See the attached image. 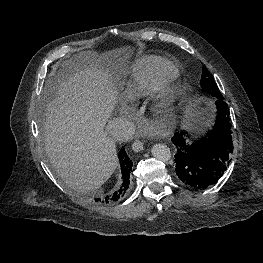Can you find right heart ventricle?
Instances as JSON below:
<instances>
[{"mask_svg": "<svg viewBox=\"0 0 263 263\" xmlns=\"http://www.w3.org/2000/svg\"><path fill=\"white\" fill-rule=\"evenodd\" d=\"M176 69L170 63L153 61L136 65L131 74L130 95L141 98L148 94L160 82L173 78Z\"/></svg>", "mask_w": 263, "mask_h": 263, "instance_id": "1", "label": "right heart ventricle"}]
</instances>
